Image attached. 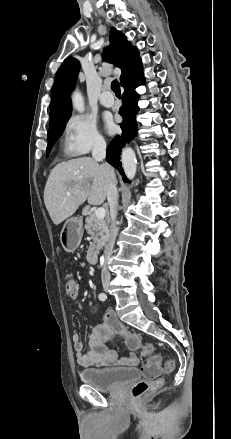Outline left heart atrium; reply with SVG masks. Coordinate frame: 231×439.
Listing matches in <instances>:
<instances>
[{
  "label": "left heart atrium",
  "instance_id": "1",
  "mask_svg": "<svg viewBox=\"0 0 231 439\" xmlns=\"http://www.w3.org/2000/svg\"><path fill=\"white\" fill-rule=\"evenodd\" d=\"M105 126L109 133H113L115 131V126L111 120H106Z\"/></svg>",
  "mask_w": 231,
  "mask_h": 439
}]
</instances>
